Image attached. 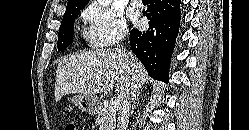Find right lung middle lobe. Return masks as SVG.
Here are the masks:
<instances>
[{
    "label": "right lung middle lobe",
    "mask_w": 249,
    "mask_h": 130,
    "mask_svg": "<svg viewBox=\"0 0 249 130\" xmlns=\"http://www.w3.org/2000/svg\"><path fill=\"white\" fill-rule=\"evenodd\" d=\"M83 6H67L64 17L61 22L58 34L57 48L58 51H64L73 42L74 19L78 16Z\"/></svg>",
    "instance_id": "right-lung-middle-lobe-1"
}]
</instances>
